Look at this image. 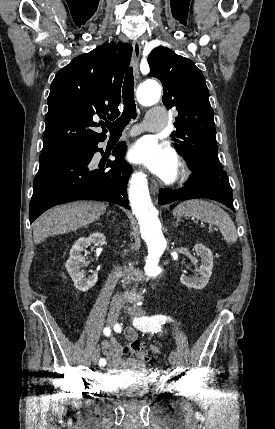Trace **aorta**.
I'll list each match as a JSON object with an SVG mask.
<instances>
[{
    "label": "aorta",
    "mask_w": 275,
    "mask_h": 429,
    "mask_svg": "<svg viewBox=\"0 0 275 429\" xmlns=\"http://www.w3.org/2000/svg\"><path fill=\"white\" fill-rule=\"evenodd\" d=\"M160 95L161 87L155 81L141 84L137 91V99L144 106L157 103ZM129 199L132 211L139 223L141 237L148 248L145 274L148 277H155L161 272L158 264L167 242L162 232L157 210L150 198L147 179L142 173L133 174L130 180Z\"/></svg>",
    "instance_id": "762f6f07"
}]
</instances>
